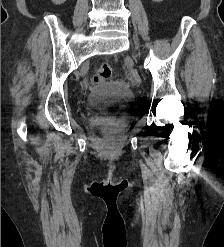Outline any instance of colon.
I'll use <instances>...</instances> for the list:
<instances>
[{
  "label": "colon",
  "mask_w": 224,
  "mask_h": 247,
  "mask_svg": "<svg viewBox=\"0 0 224 247\" xmlns=\"http://www.w3.org/2000/svg\"><path fill=\"white\" fill-rule=\"evenodd\" d=\"M111 74H112V68L110 64L102 63L98 66L94 74L93 80L95 83L105 82L110 79Z\"/></svg>",
  "instance_id": "colon-1"
}]
</instances>
